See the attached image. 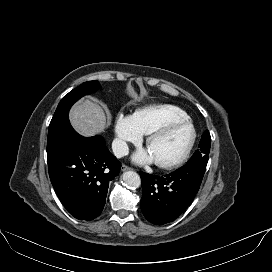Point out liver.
<instances>
[{"mask_svg": "<svg viewBox=\"0 0 272 272\" xmlns=\"http://www.w3.org/2000/svg\"><path fill=\"white\" fill-rule=\"evenodd\" d=\"M71 126L81 135L89 137L102 133L107 127L102 107L89 99L75 104L70 110Z\"/></svg>", "mask_w": 272, "mask_h": 272, "instance_id": "obj_1", "label": "liver"}]
</instances>
